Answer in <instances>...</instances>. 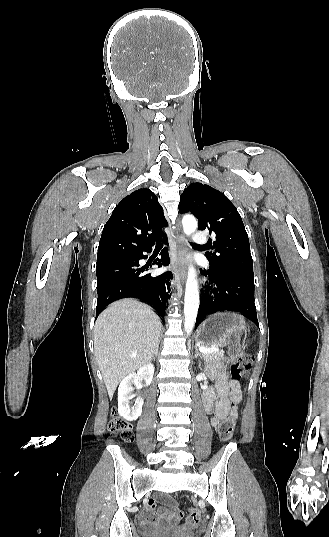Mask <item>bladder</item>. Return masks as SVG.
Instances as JSON below:
<instances>
[{
    "instance_id": "31cf9c89",
    "label": "bladder",
    "mask_w": 329,
    "mask_h": 537,
    "mask_svg": "<svg viewBox=\"0 0 329 537\" xmlns=\"http://www.w3.org/2000/svg\"><path fill=\"white\" fill-rule=\"evenodd\" d=\"M184 531H186V532H193V528H185Z\"/></svg>"
}]
</instances>
